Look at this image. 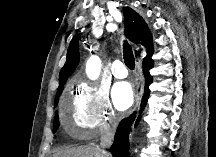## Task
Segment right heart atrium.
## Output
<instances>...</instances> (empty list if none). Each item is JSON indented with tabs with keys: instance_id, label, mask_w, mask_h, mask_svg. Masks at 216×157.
Segmentation results:
<instances>
[{
	"instance_id": "d8ad5b80",
	"label": "right heart atrium",
	"mask_w": 216,
	"mask_h": 157,
	"mask_svg": "<svg viewBox=\"0 0 216 157\" xmlns=\"http://www.w3.org/2000/svg\"><path fill=\"white\" fill-rule=\"evenodd\" d=\"M116 122L117 114L107 93L93 85L80 84L73 102L74 132L88 138L109 131Z\"/></svg>"
}]
</instances>
